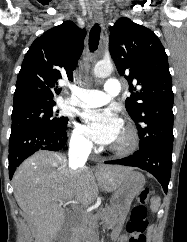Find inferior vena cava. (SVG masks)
I'll return each mask as SVG.
<instances>
[{"label": "inferior vena cava", "mask_w": 187, "mask_h": 242, "mask_svg": "<svg viewBox=\"0 0 187 242\" xmlns=\"http://www.w3.org/2000/svg\"><path fill=\"white\" fill-rule=\"evenodd\" d=\"M90 150L91 144L84 140L75 141L70 145L68 157L71 170L75 171L86 163Z\"/></svg>", "instance_id": "obj_1"}]
</instances>
